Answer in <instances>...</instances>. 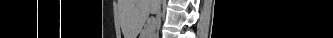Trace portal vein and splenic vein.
Listing matches in <instances>:
<instances>
[{
    "label": "portal vein and splenic vein",
    "instance_id": "18ae733b",
    "mask_svg": "<svg viewBox=\"0 0 333 38\" xmlns=\"http://www.w3.org/2000/svg\"><path fill=\"white\" fill-rule=\"evenodd\" d=\"M154 24V20L152 19L151 22H150V25H153Z\"/></svg>",
    "mask_w": 333,
    "mask_h": 38
}]
</instances>
